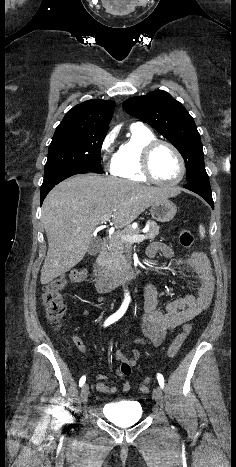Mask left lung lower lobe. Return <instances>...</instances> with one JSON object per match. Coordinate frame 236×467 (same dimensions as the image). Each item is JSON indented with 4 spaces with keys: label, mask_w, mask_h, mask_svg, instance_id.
Wrapping results in <instances>:
<instances>
[{
    "label": "left lung lower lobe",
    "mask_w": 236,
    "mask_h": 467,
    "mask_svg": "<svg viewBox=\"0 0 236 467\" xmlns=\"http://www.w3.org/2000/svg\"><path fill=\"white\" fill-rule=\"evenodd\" d=\"M184 188L197 193L198 195L203 197L211 205L212 208H214L209 179L189 182L186 185H184Z\"/></svg>",
    "instance_id": "1"
}]
</instances>
